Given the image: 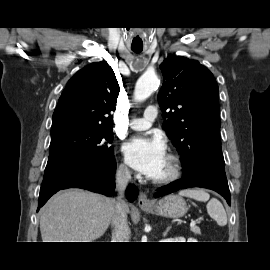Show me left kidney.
<instances>
[{"label":"left kidney","mask_w":270,"mask_h":270,"mask_svg":"<svg viewBox=\"0 0 270 270\" xmlns=\"http://www.w3.org/2000/svg\"><path fill=\"white\" fill-rule=\"evenodd\" d=\"M191 242H197L196 240H191Z\"/></svg>","instance_id":"1"}]
</instances>
